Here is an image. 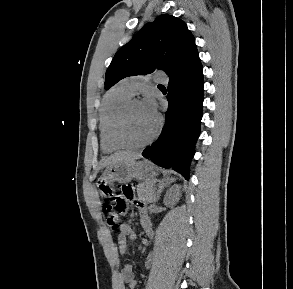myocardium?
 Segmentation results:
<instances>
[{"mask_svg": "<svg viewBox=\"0 0 293 289\" xmlns=\"http://www.w3.org/2000/svg\"><path fill=\"white\" fill-rule=\"evenodd\" d=\"M143 102L138 98H131L128 100L120 109L119 113L116 116L113 125L112 139L115 144L122 149L129 150H137L142 149L150 145L159 135L162 128V120L159 116H157V126L154 130L153 134L142 143H131L124 136V124L126 117L130 111V109L136 104H142Z\"/></svg>", "mask_w": 293, "mask_h": 289, "instance_id": "f54148a6", "label": "myocardium"}]
</instances>
